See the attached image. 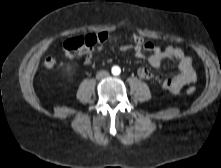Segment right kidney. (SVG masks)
<instances>
[{"label": "right kidney", "instance_id": "ca27d5eb", "mask_svg": "<svg viewBox=\"0 0 221 168\" xmlns=\"http://www.w3.org/2000/svg\"><path fill=\"white\" fill-rule=\"evenodd\" d=\"M70 68H71V67H70V66H68V67H67V70H70Z\"/></svg>", "mask_w": 221, "mask_h": 168}]
</instances>
